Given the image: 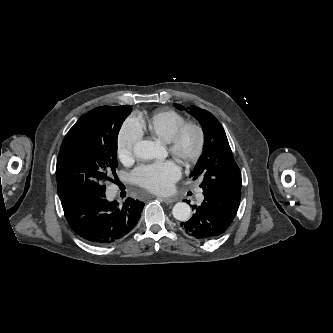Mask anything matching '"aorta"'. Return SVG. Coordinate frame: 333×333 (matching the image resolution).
I'll return each mask as SVG.
<instances>
[{
  "label": "aorta",
  "instance_id": "obj_1",
  "mask_svg": "<svg viewBox=\"0 0 333 333\" xmlns=\"http://www.w3.org/2000/svg\"><path fill=\"white\" fill-rule=\"evenodd\" d=\"M134 154L140 159H154L157 156V145L150 140H142L135 144ZM172 214L175 219L180 221H187L191 215V208L185 202H178L172 209Z\"/></svg>",
  "mask_w": 333,
  "mask_h": 333
}]
</instances>
